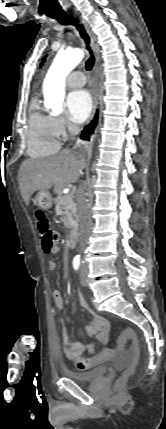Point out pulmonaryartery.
<instances>
[{"label": "pulmonary artery", "instance_id": "1", "mask_svg": "<svg viewBox=\"0 0 166 429\" xmlns=\"http://www.w3.org/2000/svg\"><path fill=\"white\" fill-rule=\"evenodd\" d=\"M85 82V75L81 71H74L67 77V84L72 88L83 86Z\"/></svg>", "mask_w": 166, "mask_h": 429}]
</instances>
